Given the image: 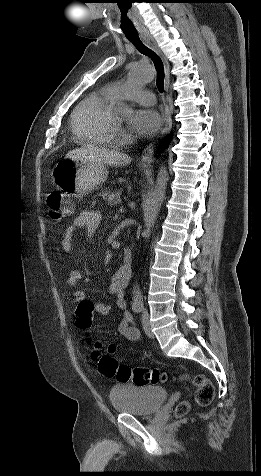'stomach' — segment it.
Masks as SVG:
<instances>
[{
  "mask_svg": "<svg viewBox=\"0 0 261 476\" xmlns=\"http://www.w3.org/2000/svg\"><path fill=\"white\" fill-rule=\"evenodd\" d=\"M53 180L64 195H87L101 185L108 176L106 165L87 160L66 158L53 170Z\"/></svg>",
  "mask_w": 261,
  "mask_h": 476,
  "instance_id": "0dacf381",
  "label": "stomach"
}]
</instances>
